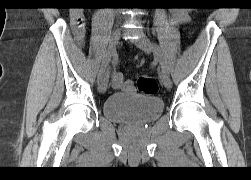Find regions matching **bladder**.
Here are the masks:
<instances>
[{"label":"bladder","mask_w":251,"mask_h":180,"mask_svg":"<svg viewBox=\"0 0 251 180\" xmlns=\"http://www.w3.org/2000/svg\"><path fill=\"white\" fill-rule=\"evenodd\" d=\"M164 103L156 96L110 95L103 104V115L117 123H150L163 112Z\"/></svg>","instance_id":"obj_1"}]
</instances>
